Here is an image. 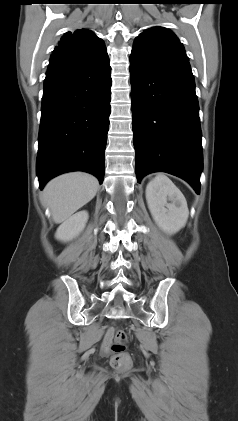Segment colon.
<instances>
[{
  "instance_id": "5ec220e1",
  "label": "colon",
  "mask_w": 238,
  "mask_h": 421,
  "mask_svg": "<svg viewBox=\"0 0 238 421\" xmlns=\"http://www.w3.org/2000/svg\"><path fill=\"white\" fill-rule=\"evenodd\" d=\"M111 343V366L116 370H125L131 365V358L126 352L128 339L124 330L112 328L108 331Z\"/></svg>"
}]
</instances>
